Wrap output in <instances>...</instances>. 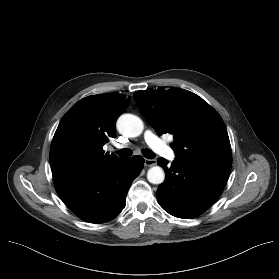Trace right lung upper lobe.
Instances as JSON below:
<instances>
[{
    "label": "right lung upper lobe",
    "instance_id": "cb5924a9",
    "mask_svg": "<svg viewBox=\"0 0 279 279\" xmlns=\"http://www.w3.org/2000/svg\"><path fill=\"white\" fill-rule=\"evenodd\" d=\"M130 102L123 94H100L78 101L61 119L50 148L54 185L80 179L118 162L103 145L115 137V122Z\"/></svg>",
    "mask_w": 279,
    "mask_h": 279
}]
</instances>
